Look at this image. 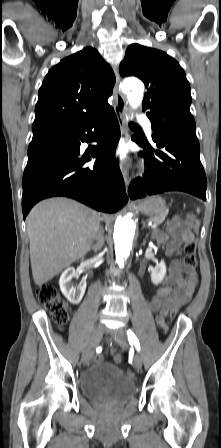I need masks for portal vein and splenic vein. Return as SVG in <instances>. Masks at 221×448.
<instances>
[{
    "mask_svg": "<svg viewBox=\"0 0 221 448\" xmlns=\"http://www.w3.org/2000/svg\"><path fill=\"white\" fill-rule=\"evenodd\" d=\"M148 225H149L151 228H156V227H157V224H156V223H152V222H149Z\"/></svg>",
    "mask_w": 221,
    "mask_h": 448,
    "instance_id": "18ae733b",
    "label": "portal vein and splenic vein"
}]
</instances>
